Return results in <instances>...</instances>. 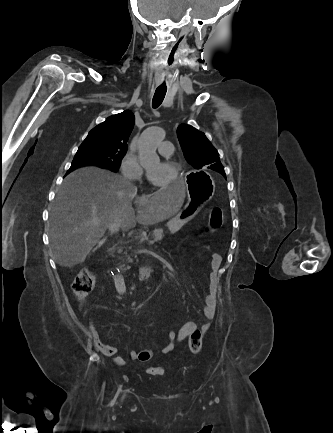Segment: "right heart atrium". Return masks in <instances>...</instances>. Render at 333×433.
Wrapping results in <instances>:
<instances>
[{
    "mask_svg": "<svg viewBox=\"0 0 333 433\" xmlns=\"http://www.w3.org/2000/svg\"><path fill=\"white\" fill-rule=\"evenodd\" d=\"M120 169L124 177L132 180L139 179L143 173L137 158L131 153H126L123 156Z\"/></svg>",
    "mask_w": 333,
    "mask_h": 433,
    "instance_id": "obj_1",
    "label": "right heart atrium"
}]
</instances>
